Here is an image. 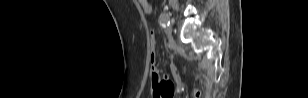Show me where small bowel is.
<instances>
[{"label": "small bowel", "mask_w": 308, "mask_h": 98, "mask_svg": "<svg viewBox=\"0 0 308 98\" xmlns=\"http://www.w3.org/2000/svg\"><path fill=\"white\" fill-rule=\"evenodd\" d=\"M139 4L144 13L149 14L152 11V6L148 0H139Z\"/></svg>", "instance_id": "c3829d8e"}]
</instances>
